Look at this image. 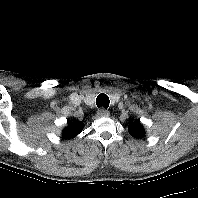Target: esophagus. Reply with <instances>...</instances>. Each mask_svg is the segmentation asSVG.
<instances>
[{
  "mask_svg": "<svg viewBox=\"0 0 198 198\" xmlns=\"http://www.w3.org/2000/svg\"><path fill=\"white\" fill-rule=\"evenodd\" d=\"M96 116L98 118H105L109 116V111L105 110L104 108H101L97 111Z\"/></svg>",
  "mask_w": 198,
  "mask_h": 198,
  "instance_id": "esophagus-1",
  "label": "esophagus"
}]
</instances>
